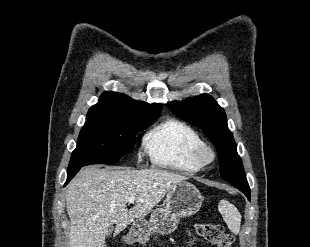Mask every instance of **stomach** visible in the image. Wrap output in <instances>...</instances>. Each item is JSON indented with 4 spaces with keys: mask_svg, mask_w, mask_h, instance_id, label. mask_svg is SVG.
Returning <instances> with one entry per match:
<instances>
[{
    "mask_svg": "<svg viewBox=\"0 0 310 247\" xmlns=\"http://www.w3.org/2000/svg\"><path fill=\"white\" fill-rule=\"evenodd\" d=\"M203 196L190 182L182 181L170 190L164 200V207L154 210L149 220L136 219L131 228V239L145 244L153 232L170 234L175 231L181 218L199 211Z\"/></svg>",
    "mask_w": 310,
    "mask_h": 247,
    "instance_id": "0dacf381",
    "label": "stomach"
}]
</instances>
